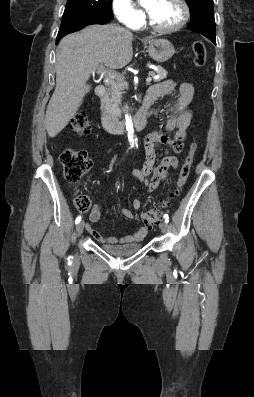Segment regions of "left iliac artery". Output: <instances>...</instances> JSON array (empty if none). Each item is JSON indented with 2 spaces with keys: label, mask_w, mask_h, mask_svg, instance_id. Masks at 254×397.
<instances>
[{
  "label": "left iliac artery",
  "mask_w": 254,
  "mask_h": 397,
  "mask_svg": "<svg viewBox=\"0 0 254 397\" xmlns=\"http://www.w3.org/2000/svg\"><path fill=\"white\" fill-rule=\"evenodd\" d=\"M164 220H165V222H166V223H168V222H169V217H168V215H167V214H164Z\"/></svg>",
  "instance_id": "1"
}]
</instances>
